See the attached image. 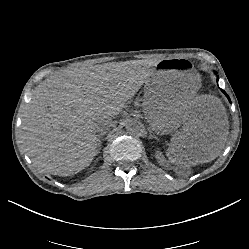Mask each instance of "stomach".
<instances>
[{
    "mask_svg": "<svg viewBox=\"0 0 249 249\" xmlns=\"http://www.w3.org/2000/svg\"><path fill=\"white\" fill-rule=\"evenodd\" d=\"M199 87V75L185 60H160L145 84L143 105L147 126L162 135L174 132L186 114L185 102L193 99Z\"/></svg>",
    "mask_w": 249,
    "mask_h": 249,
    "instance_id": "1",
    "label": "stomach"
}]
</instances>
